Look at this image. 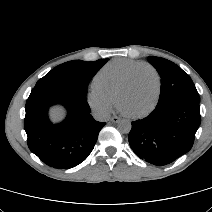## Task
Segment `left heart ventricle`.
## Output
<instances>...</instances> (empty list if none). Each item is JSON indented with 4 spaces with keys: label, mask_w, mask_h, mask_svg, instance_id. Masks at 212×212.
<instances>
[{
    "label": "left heart ventricle",
    "mask_w": 212,
    "mask_h": 212,
    "mask_svg": "<svg viewBox=\"0 0 212 212\" xmlns=\"http://www.w3.org/2000/svg\"><path fill=\"white\" fill-rule=\"evenodd\" d=\"M156 78L149 69H140L121 98V107L129 114L145 111L156 95Z\"/></svg>",
    "instance_id": "obj_1"
}]
</instances>
